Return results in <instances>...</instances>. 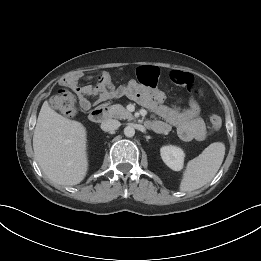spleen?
<instances>
[{
  "label": "spleen",
  "mask_w": 261,
  "mask_h": 261,
  "mask_svg": "<svg viewBox=\"0 0 261 261\" xmlns=\"http://www.w3.org/2000/svg\"><path fill=\"white\" fill-rule=\"evenodd\" d=\"M225 155L222 142L210 144L196 158L187 163L180 182V191L190 192L210 182L218 172Z\"/></svg>",
  "instance_id": "1"
}]
</instances>
